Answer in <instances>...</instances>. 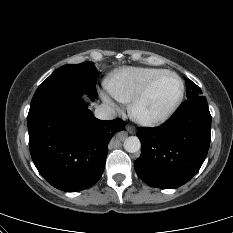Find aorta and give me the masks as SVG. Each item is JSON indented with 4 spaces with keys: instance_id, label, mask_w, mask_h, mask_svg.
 <instances>
[{
    "instance_id": "762f6f07",
    "label": "aorta",
    "mask_w": 233,
    "mask_h": 233,
    "mask_svg": "<svg viewBox=\"0 0 233 233\" xmlns=\"http://www.w3.org/2000/svg\"><path fill=\"white\" fill-rule=\"evenodd\" d=\"M123 146L127 152L135 153L140 150L141 143L138 137L130 136L125 139Z\"/></svg>"
}]
</instances>
